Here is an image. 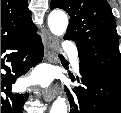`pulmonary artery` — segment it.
I'll return each instance as SVG.
<instances>
[{"mask_svg": "<svg viewBox=\"0 0 121 113\" xmlns=\"http://www.w3.org/2000/svg\"><path fill=\"white\" fill-rule=\"evenodd\" d=\"M67 49L69 50L71 57H72V67L76 73H79L80 68H79V63H78V59H77L76 46L72 43H68Z\"/></svg>", "mask_w": 121, "mask_h": 113, "instance_id": "pulmonary-artery-1", "label": "pulmonary artery"}]
</instances>
